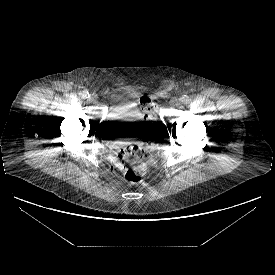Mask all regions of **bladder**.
Here are the masks:
<instances>
[{"label": "bladder", "instance_id": "31cf9c89", "mask_svg": "<svg viewBox=\"0 0 275 275\" xmlns=\"http://www.w3.org/2000/svg\"><path fill=\"white\" fill-rule=\"evenodd\" d=\"M106 121L111 129L142 133L145 117L131 103L118 102L110 108Z\"/></svg>", "mask_w": 275, "mask_h": 275}]
</instances>
